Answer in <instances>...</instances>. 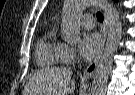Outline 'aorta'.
<instances>
[{"mask_svg": "<svg viewBox=\"0 0 135 95\" xmlns=\"http://www.w3.org/2000/svg\"><path fill=\"white\" fill-rule=\"evenodd\" d=\"M92 4L99 5L106 13L108 37L104 52L95 70L91 95H105L108 76L122 36V22L117 10L107 0H66L62 14L61 33L65 41L76 43L80 38V25L77 22V15L85 7Z\"/></svg>", "mask_w": 135, "mask_h": 95, "instance_id": "obj_1", "label": "aorta"}]
</instances>
